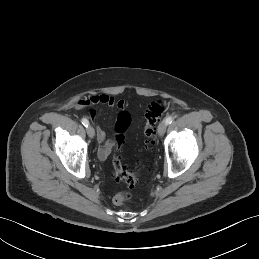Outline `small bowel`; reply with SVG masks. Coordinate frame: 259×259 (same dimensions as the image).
Here are the masks:
<instances>
[{
	"label": "small bowel",
	"mask_w": 259,
	"mask_h": 259,
	"mask_svg": "<svg viewBox=\"0 0 259 259\" xmlns=\"http://www.w3.org/2000/svg\"><path fill=\"white\" fill-rule=\"evenodd\" d=\"M99 104L105 105L109 108L116 107L119 111H123L125 108V102L123 100H117L113 96L107 94L92 95L88 99L78 102L77 105L82 108H87ZM90 117L94 119L96 117V112L92 110L90 112ZM96 134L97 140L99 143H101V146L98 150V157L101 160H105L114 147V141L110 138H107L105 130L100 125L96 126Z\"/></svg>",
	"instance_id": "obj_1"
}]
</instances>
